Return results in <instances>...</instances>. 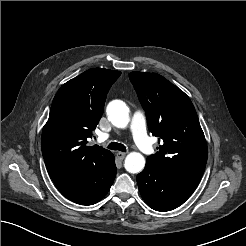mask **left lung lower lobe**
<instances>
[{
    "instance_id": "0a47b994",
    "label": "left lung lower lobe",
    "mask_w": 246,
    "mask_h": 246,
    "mask_svg": "<svg viewBox=\"0 0 246 246\" xmlns=\"http://www.w3.org/2000/svg\"><path fill=\"white\" fill-rule=\"evenodd\" d=\"M199 177L146 165L137 175L142 198L154 210L170 211L183 204L200 182Z\"/></svg>"
}]
</instances>
